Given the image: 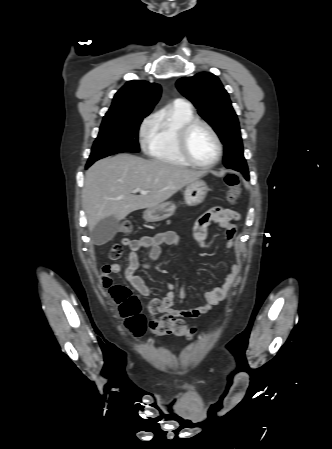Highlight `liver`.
<instances>
[{"instance_id":"6515ba94","label":"liver","mask_w":332,"mask_h":449,"mask_svg":"<svg viewBox=\"0 0 332 449\" xmlns=\"http://www.w3.org/2000/svg\"><path fill=\"white\" fill-rule=\"evenodd\" d=\"M204 175L203 171L130 154L101 159L87 170L82 191L89 229L106 217L119 221L133 211L157 206ZM136 188L148 193L134 195Z\"/></svg>"}]
</instances>
